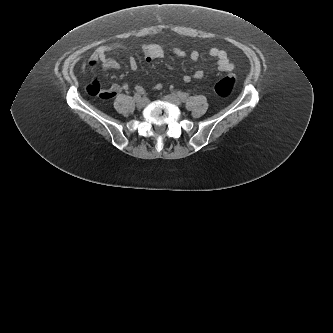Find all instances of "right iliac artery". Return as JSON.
Wrapping results in <instances>:
<instances>
[{
  "instance_id": "1",
  "label": "right iliac artery",
  "mask_w": 333,
  "mask_h": 333,
  "mask_svg": "<svg viewBox=\"0 0 333 333\" xmlns=\"http://www.w3.org/2000/svg\"><path fill=\"white\" fill-rule=\"evenodd\" d=\"M141 94H144V93H136L134 98L136 101H138L140 98H141Z\"/></svg>"
}]
</instances>
